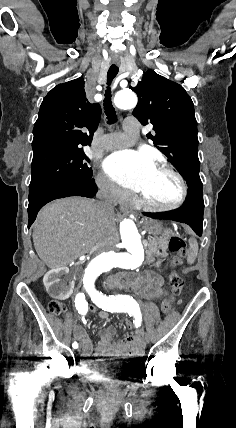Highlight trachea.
Instances as JSON below:
<instances>
[{
  "label": "trachea",
  "mask_w": 236,
  "mask_h": 428,
  "mask_svg": "<svg viewBox=\"0 0 236 428\" xmlns=\"http://www.w3.org/2000/svg\"><path fill=\"white\" fill-rule=\"evenodd\" d=\"M119 68L117 65L113 64L108 70L107 73V90L105 93V99H104V109L105 113L107 115L108 123H114L116 121V112L115 109L112 106L111 102V89L110 85L112 80L116 77L118 74Z\"/></svg>",
  "instance_id": "obj_1"
}]
</instances>
